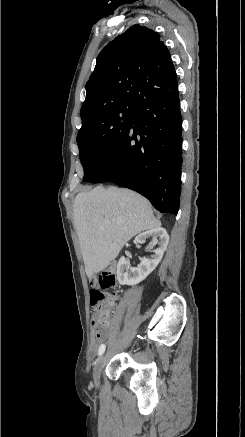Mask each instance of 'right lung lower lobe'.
<instances>
[{
  "label": "right lung lower lobe",
  "mask_w": 245,
  "mask_h": 437,
  "mask_svg": "<svg viewBox=\"0 0 245 437\" xmlns=\"http://www.w3.org/2000/svg\"><path fill=\"white\" fill-rule=\"evenodd\" d=\"M182 117L178 88L136 104L110 155L86 178L110 181L145 196L161 213L177 215L181 193Z\"/></svg>",
  "instance_id": "right-lung-lower-lobe-1"
}]
</instances>
